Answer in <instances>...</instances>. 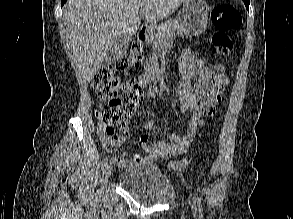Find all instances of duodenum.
<instances>
[{
  "instance_id": "duodenum-1",
  "label": "duodenum",
  "mask_w": 293,
  "mask_h": 219,
  "mask_svg": "<svg viewBox=\"0 0 293 219\" xmlns=\"http://www.w3.org/2000/svg\"><path fill=\"white\" fill-rule=\"evenodd\" d=\"M149 36V28L147 26H143L138 34H137V44L139 46L143 45L147 40ZM152 81V74H146L141 77V82L148 84Z\"/></svg>"
}]
</instances>
